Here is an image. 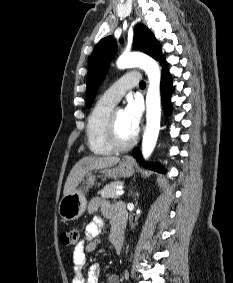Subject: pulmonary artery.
<instances>
[{
  "mask_svg": "<svg viewBox=\"0 0 233 283\" xmlns=\"http://www.w3.org/2000/svg\"><path fill=\"white\" fill-rule=\"evenodd\" d=\"M139 80L140 76L137 72H129L108 88L101 99L115 105L128 90L139 84Z\"/></svg>",
  "mask_w": 233,
  "mask_h": 283,
  "instance_id": "1",
  "label": "pulmonary artery"
}]
</instances>
